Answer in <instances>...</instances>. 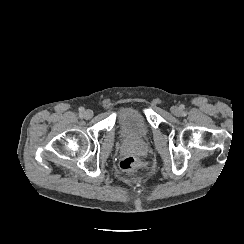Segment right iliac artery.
I'll return each mask as SVG.
<instances>
[{"label":"right iliac artery","instance_id":"right-iliac-artery-1","mask_svg":"<svg viewBox=\"0 0 244 244\" xmlns=\"http://www.w3.org/2000/svg\"><path fill=\"white\" fill-rule=\"evenodd\" d=\"M79 112H80V113H83V112H84V108H83V107H80V108H79Z\"/></svg>","mask_w":244,"mask_h":244}]
</instances>
